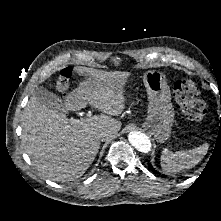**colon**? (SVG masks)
Here are the masks:
<instances>
[{"instance_id": "5ec220e1", "label": "colon", "mask_w": 221, "mask_h": 221, "mask_svg": "<svg viewBox=\"0 0 221 221\" xmlns=\"http://www.w3.org/2000/svg\"><path fill=\"white\" fill-rule=\"evenodd\" d=\"M72 68L66 67L62 70L57 81V89L65 92L68 88ZM175 97L185 117L191 121L200 122L204 120L209 110V105L198 95L197 85L190 79H182L174 86Z\"/></svg>"}]
</instances>
